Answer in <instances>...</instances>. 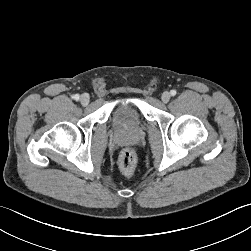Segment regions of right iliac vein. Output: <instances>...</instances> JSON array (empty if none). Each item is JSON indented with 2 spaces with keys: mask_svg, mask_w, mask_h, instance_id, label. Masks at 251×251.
<instances>
[{
  "mask_svg": "<svg viewBox=\"0 0 251 251\" xmlns=\"http://www.w3.org/2000/svg\"><path fill=\"white\" fill-rule=\"evenodd\" d=\"M89 101H90V96L87 93L81 95L80 102L83 106L88 105Z\"/></svg>",
  "mask_w": 251,
  "mask_h": 251,
  "instance_id": "63e3f726",
  "label": "right iliac vein"
}]
</instances>
